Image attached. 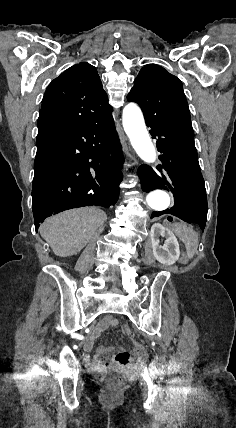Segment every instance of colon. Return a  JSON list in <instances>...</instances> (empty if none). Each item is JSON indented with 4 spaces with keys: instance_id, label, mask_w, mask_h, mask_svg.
<instances>
[{
    "instance_id": "obj_1",
    "label": "colon",
    "mask_w": 236,
    "mask_h": 428,
    "mask_svg": "<svg viewBox=\"0 0 236 428\" xmlns=\"http://www.w3.org/2000/svg\"><path fill=\"white\" fill-rule=\"evenodd\" d=\"M126 335H131V329L128 326L123 328ZM126 376L123 374H113L107 379V387L110 391L116 392L120 390L126 383Z\"/></svg>"
}]
</instances>
